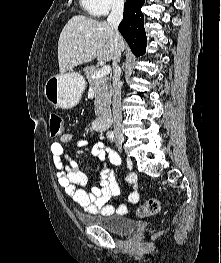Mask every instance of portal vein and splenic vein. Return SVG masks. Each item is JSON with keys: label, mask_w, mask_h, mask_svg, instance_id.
<instances>
[{"label": "portal vein and splenic vein", "mask_w": 221, "mask_h": 263, "mask_svg": "<svg viewBox=\"0 0 221 263\" xmlns=\"http://www.w3.org/2000/svg\"><path fill=\"white\" fill-rule=\"evenodd\" d=\"M111 71L110 66L104 65L101 69H99L96 73L93 74V78H99L105 75H108Z\"/></svg>", "instance_id": "18ae733b"}]
</instances>
